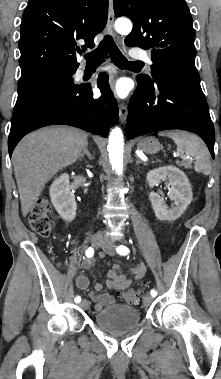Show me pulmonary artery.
<instances>
[{
    "label": "pulmonary artery",
    "mask_w": 221,
    "mask_h": 379,
    "mask_svg": "<svg viewBox=\"0 0 221 379\" xmlns=\"http://www.w3.org/2000/svg\"><path fill=\"white\" fill-rule=\"evenodd\" d=\"M130 56L134 59H139V60H145L147 61L148 63H152L150 57L148 56V54L145 52V51H142V50H132L130 52ZM83 74V71H79V75H82Z\"/></svg>",
    "instance_id": "e3ab8cb5"
}]
</instances>
